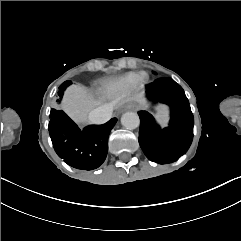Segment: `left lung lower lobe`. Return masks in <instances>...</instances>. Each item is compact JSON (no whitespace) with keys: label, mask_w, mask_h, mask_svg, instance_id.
Listing matches in <instances>:
<instances>
[{"label":"left lung lower lobe","mask_w":241,"mask_h":241,"mask_svg":"<svg viewBox=\"0 0 241 241\" xmlns=\"http://www.w3.org/2000/svg\"><path fill=\"white\" fill-rule=\"evenodd\" d=\"M147 97L171 109L169 127L161 129L147 111L140 117L139 144L146 157L159 164L179 159L193 138L194 119L183 88L171 78H160L146 86Z\"/></svg>","instance_id":"obj_1"}]
</instances>
